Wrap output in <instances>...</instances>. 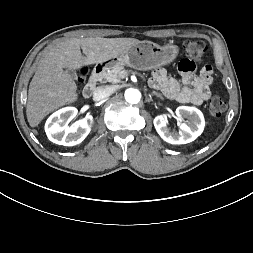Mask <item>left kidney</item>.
<instances>
[{
    "mask_svg": "<svg viewBox=\"0 0 253 253\" xmlns=\"http://www.w3.org/2000/svg\"><path fill=\"white\" fill-rule=\"evenodd\" d=\"M176 115L180 118H186L187 124L180 125L179 133L170 132L167 124V116L159 115L154 118V126L160 137L170 144H186L194 141L203 132L205 121L202 112L189 106H179L176 109Z\"/></svg>",
    "mask_w": 253,
    "mask_h": 253,
    "instance_id": "obj_1",
    "label": "left kidney"
}]
</instances>
